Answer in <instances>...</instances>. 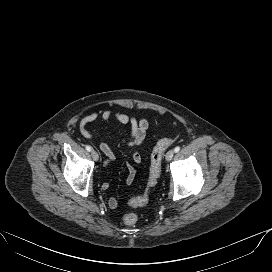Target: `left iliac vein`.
Wrapping results in <instances>:
<instances>
[{"label": "left iliac vein", "mask_w": 272, "mask_h": 272, "mask_svg": "<svg viewBox=\"0 0 272 272\" xmlns=\"http://www.w3.org/2000/svg\"><path fill=\"white\" fill-rule=\"evenodd\" d=\"M173 156H174V150H169V151L166 153L165 158H166L167 161H171L172 158H173Z\"/></svg>", "instance_id": "1"}]
</instances>
